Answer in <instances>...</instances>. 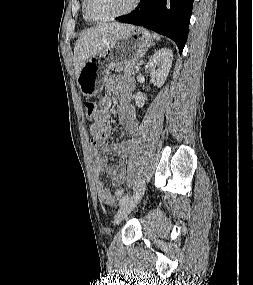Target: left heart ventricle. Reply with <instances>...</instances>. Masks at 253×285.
I'll return each instance as SVG.
<instances>
[{
    "label": "left heart ventricle",
    "mask_w": 253,
    "mask_h": 285,
    "mask_svg": "<svg viewBox=\"0 0 253 285\" xmlns=\"http://www.w3.org/2000/svg\"><path fill=\"white\" fill-rule=\"evenodd\" d=\"M133 0H88V12L94 18H103L127 9Z\"/></svg>",
    "instance_id": "left-heart-ventricle-1"
}]
</instances>
